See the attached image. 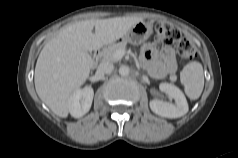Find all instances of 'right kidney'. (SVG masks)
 Segmentation results:
<instances>
[{
    "label": "right kidney",
    "instance_id": "ca27d5eb",
    "mask_svg": "<svg viewBox=\"0 0 238 158\" xmlns=\"http://www.w3.org/2000/svg\"><path fill=\"white\" fill-rule=\"evenodd\" d=\"M94 91L91 87L77 90L71 97L69 111L74 118L84 116L91 108Z\"/></svg>",
    "mask_w": 238,
    "mask_h": 158
}]
</instances>
